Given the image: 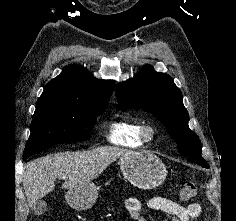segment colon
<instances>
[{
    "instance_id": "obj_1",
    "label": "colon",
    "mask_w": 236,
    "mask_h": 221,
    "mask_svg": "<svg viewBox=\"0 0 236 221\" xmlns=\"http://www.w3.org/2000/svg\"><path fill=\"white\" fill-rule=\"evenodd\" d=\"M179 190L181 197L186 200L195 198L199 193L198 186L189 177H184L179 181Z\"/></svg>"
}]
</instances>
